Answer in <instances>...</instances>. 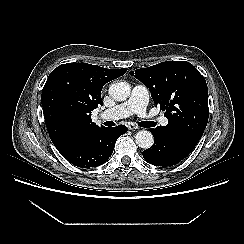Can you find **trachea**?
<instances>
[{"label": "trachea", "instance_id": "obj_1", "mask_svg": "<svg viewBox=\"0 0 244 244\" xmlns=\"http://www.w3.org/2000/svg\"><path fill=\"white\" fill-rule=\"evenodd\" d=\"M104 124H105V126H109V127L115 126V123L112 121H106ZM138 125L141 127H144V128H150V127H154L156 125V123L152 122V121L151 122L144 121V122H139Z\"/></svg>", "mask_w": 244, "mask_h": 244}]
</instances>
